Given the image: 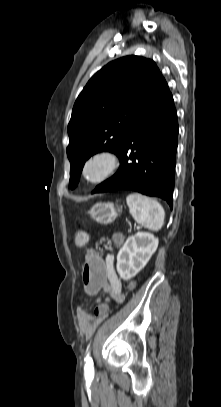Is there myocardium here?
<instances>
[{"mask_svg":"<svg viewBox=\"0 0 221 407\" xmlns=\"http://www.w3.org/2000/svg\"><path fill=\"white\" fill-rule=\"evenodd\" d=\"M96 161H103L105 169L99 177L92 179L87 176V168ZM121 164V157L116 151L110 149L100 150L86 158L82 165L81 175L90 184H101L114 176L119 171Z\"/></svg>","mask_w":221,"mask_h":407,"instance_id":"f54148a6","label":"myocardium"}]
</instances>
